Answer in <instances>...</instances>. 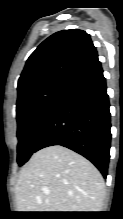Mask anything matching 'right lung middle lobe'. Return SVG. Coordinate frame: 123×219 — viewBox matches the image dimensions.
<instances>
[{"label": "right lung middle lobe", "instance_id": "dd1d6c3e", "mask_svg": "<svg viewBox=\"0 0 123 219\" xmlns=\"http://www.w3.org/2000/svg\"><path fill=\"white\" fill-rule=\"evenodd\" d=\"M67 85L66 81L47 83L25 93L17 100V162L19 166L36 152L35 144L52 110Z\"/></svg>", "mask_w": 123, "mask_h": 219}]
</instances>
